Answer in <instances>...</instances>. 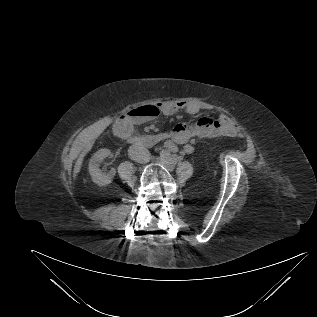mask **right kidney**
Returning a JSON list of instances; mask_svg holds the SVG:
<instances>
[{
    "label": "right kidney",
    "mask_w": 317,
    "mask_h": 317,
    "mask_svg": "<svg viewBox=\"0 0 317 317\" xmlns=\"http://www.w3.org/2000/svg\"><path fill=\"white\" fill-rule=\"evenodd\" d=\"M109 149H100L91 157L89 161V174L92 181L99 186L110 184L116 174V170L112 168L107 174H103L99 169V163L110 155Z\"/></svg>",
    "instance_id": "ca27d5eb"
}]
</instances>
